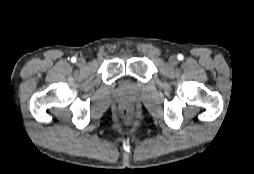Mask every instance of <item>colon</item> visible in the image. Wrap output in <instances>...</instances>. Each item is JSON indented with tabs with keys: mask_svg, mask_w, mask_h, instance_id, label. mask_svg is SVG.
<instances>
[{
	"mask_svg": "<svg viewBox=\"0 0 254 174\" xmlns=\"http://www.w3.org/2000/svg\"><path fill=\"white\" fill-rule=\"evenodd\" d=\"M121 118L125 123H130L133 120V113L130 109L125 108L121 112Z\"/></svg>",
	"mask_w": 254,
	"mask_h": 174,
	"instance_id": "1",
	"label": "colon"
}]
</instances>
